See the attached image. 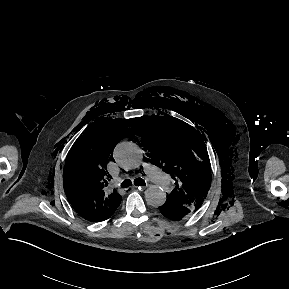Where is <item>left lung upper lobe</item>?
Instances as JSON below:
<instances>
[{
    "label": "left lung upper lobe",
    "instance_id": "obj_1",
    "mask_svg": "<svg viewBox=\"0 0 289 289\" xmlns=\"http://www.w3.org/2000/svg\"><path fill=\"white\" fill-rule=\"evenodd\" d=\"M137 123L150 160L176 181L166 201L198 210L211 185L209 156L200 134L171 116L143 117Z\"/></svg>",
    "mask_w": 289,
    "mask_h": 289
}]
</instances>
